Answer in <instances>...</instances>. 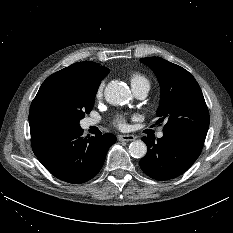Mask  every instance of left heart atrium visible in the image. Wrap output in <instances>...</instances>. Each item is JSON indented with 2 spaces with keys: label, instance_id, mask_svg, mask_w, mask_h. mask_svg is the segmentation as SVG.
<instances>
[{
  "label": "left heart atrium",
  "instance_id": "obj_1",
  "mask_svg": "<svg viewBox=\"0 0 233 233\" xmlns=\"http://www.w3.org/2000/svg\"><path fill=\"white\" fill-rule=\"evenodd\" d=\"M115 124L121 128V129H124L126 127V119L124 116L120 115L116 118L115 120Z\"/></svg>",
  "mask_w": 233,
  "mask_h": 233
}]
</instances>
